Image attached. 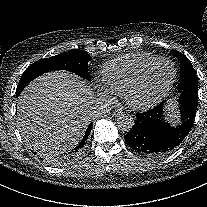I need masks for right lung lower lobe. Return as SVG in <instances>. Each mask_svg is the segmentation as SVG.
Segmentation results:
<instances>
[{
  "label": "right lung lower lobe",
  "mask_w": 207,
  "mask_h": 207,
  "mask_svg": "<svg viewBox=\"0 0 207 207\" xmlns=\"http://www.w3.org/2000/svg\"><path fill=\"white\" fill-rule=\"evenodd\" d=\"M91 129H92V124H90V125L88 126V129H87V131H86V133H85L84 138L82 139L81 143H80L76 148H74V152H75L76 150H78L79 148L83 147V145L85 144V141H86L87 137H88L89 134H90Z\"/></svg>",
  "instance_id": "right-lung-lower-lobe-1"
}]
</instances>
